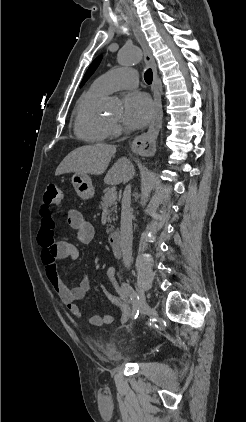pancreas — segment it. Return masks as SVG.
Masks as SVG:
<instances>
[{
	"label": "pancreas",
	"mask_w": 246,
	"mask_h": 422,
	"mask_svg": "<svg viewBox=\"0 0 246 422\" xmlns=\"http://www.w3.org/2000/svg\"><path fill=\"white\" fill-rule=\"evenodd\" d=\"M108 195L109 194L106 193L104 196L101 197V202H100V205H99L100 209L106 208L108 210L107 221H108L109 224L107 225V230H106L107 233L111 232L114 229V226L111 225L110 223L115 221L116 218H117V215H116V213H117V203L115 201L114 202H108L107 201Z\"/></svg>",
	"instance_id": "cf45deb5"
}]
</instances>
